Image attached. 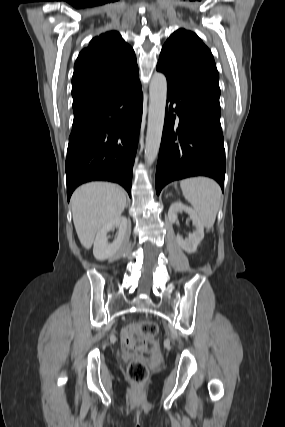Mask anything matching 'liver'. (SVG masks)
I'll return each instance as SVG.
<instances>
[{
    "mask_svg": "<svg viewBox=\"0 0 285 427\" xmlns=\"http://www.w3.org/2000/svg\"><path fill=\"white\" fill-rule=\"evenodd\" d=\"M125 205V192L115 184L92 182L74 191L71 197L73 222L84 248H91L96 233L120 217Z\"/></svg>",
    "mask_w": 285,
    "mask_h": 427,
    "instance_id": "obj_1",
    "label": "liver"
}]
</instances>
